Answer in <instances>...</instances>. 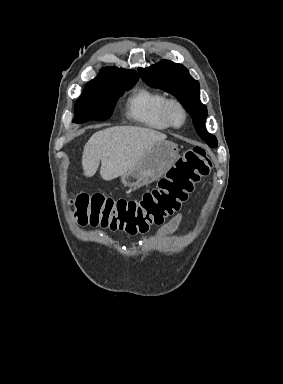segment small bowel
I'll return each instance as SVG.
<instances>
[{"instance_id":"obj_1","label":"small bowel","mask_w":283,"mask_h":384,"mask_svg":"<svg viewBox=\"0 0 283 384\" xmlns=\"http://www.w3.org/2000/svg\"><path fill=\"white\" fill-rule=\"evenodd\" d=\"M181 220V214L175 215L158 230V234L161 236H165L174 233L179 227Z\"/></svg>"}]
</instances>
